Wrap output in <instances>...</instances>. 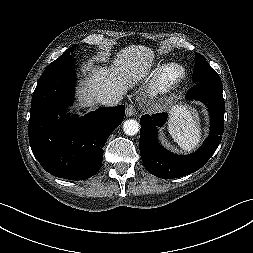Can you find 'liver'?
Returning a JSON list of instances; mask_svg holds the SVG:
<instances>
[{
	"mask_svg": "<svg viewBox=\"0 0 253 253\" xmlns=\"http://www.w3.org/2000/svg\"><path fill=\"white\" fill-rule=\"evenodd\" d=\"M154 52L144 45H131L116 54L111 68L99 67L93 62L84 66L85 78L77 95L79 105L94 106L98 95L122 96L150 70Z\"/></svg>",
	"mask_w": 253,
	"mask_h": 253,
	"instance_id": "liver-1",
	"label": "liver"
}]
</instances>
